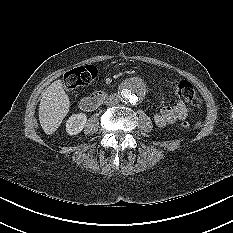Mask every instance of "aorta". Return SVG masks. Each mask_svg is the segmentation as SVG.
Masks as SVG:
<instances>
[{"mask_svg": "<svg viewBox=\"0 0 233 233\" xmlns=\"http://www.w3.org/2000/svg\"><path fill=\"white\" fill-rule=\"evenodd\" d=\"M144 94L145 86L139 78L127 80L120 90L121 101L127 105H136L144 97Z\"/></svg>", "mask_w": 233, "mask_h": 233, "instance_id": "obj_1", "label": "aorta"}]
</instances>
